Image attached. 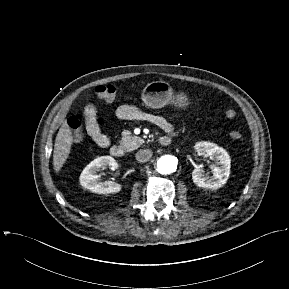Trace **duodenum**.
Returning <instances> with one entry per match:
<instances>
[{
    "label": "duodenum",
    "mask_w": 289,
    "mask_h": 289,
    "mask_svg": "<svg viewBox=\"0 0 289 289\" xmlns=\"http://www.w3.org/2000/svg\"><path fill=\"white\" fill-rule=\"evenodd\" d=\"M161 144L167 145L170 142V139L168 137H162L160 139ZM125 151L121 145H112L110 148V154L114 157H122L124 155Z\"/></svg>",
    "instance_id": "duodenum-1"
}]
</instances>
